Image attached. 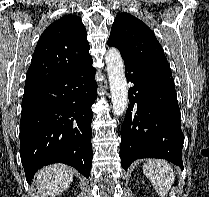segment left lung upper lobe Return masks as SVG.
<instances>
[{
	"label": "left lung upper lobe",
	"instance_id": "1",
	"mask_svg": "<svg viewBox=\"0 0 209 197\" xmlns=\"http://www.w3.org/2000/svg\"><path fill=\"white\" fill-rule=\"evenodd\" d=\"M107 44L120 50L124 62L172 75L164 51L152 30L129 13L116 16Z\"/></svg>",
	"mask_w": 209,
	"mask_h": 197
}]
</instances>
